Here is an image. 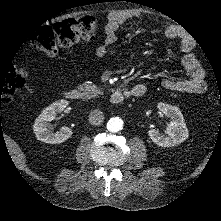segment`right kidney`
<instances>
[{
	"label": "right kidney",
	"mask_w": 221,
	"mask_h": 221,
	"mask_svg": "<svg viewBox=\"0 0 221 221\" xmlns=\"http://www.w3.org/2000/svg\"><path fill=\"white\" fill-rule=\"evenodd\" d=\"M69 105V100L59 99L42 110L33 123V131L38 140L56 144L65 141L72 135V130L66 126L57 131L50 127V122L55 119L56 114Z\"/></svg>",
	"instance_id": "1"
}]
</instances>
